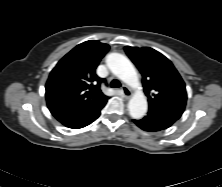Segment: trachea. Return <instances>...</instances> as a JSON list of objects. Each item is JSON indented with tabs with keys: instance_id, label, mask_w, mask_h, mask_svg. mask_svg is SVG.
<instances>
[{
	"instance_id": "3493384b",
	"label": "trachea",
	"mask_w": 222,
	"mask_h": 187,
	"mask_svg": "<svg viewBox=\"0 0 222 187\" xmlns=\"http://www.w3.org/2000/svg\"><path fill=\"white\" fill-rule=\"evenodd\" d=\"M120 86H121V83L116 79L112 80L110 83L111 88H119Z\"/></svg>"
}]
</instances>
